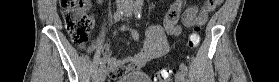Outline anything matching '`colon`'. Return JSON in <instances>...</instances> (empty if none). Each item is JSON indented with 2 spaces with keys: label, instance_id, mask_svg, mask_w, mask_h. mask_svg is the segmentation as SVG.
Returning <instances> with one entry per match:
<instances>
[{
  "label": "colon",
  "instance_id": "5ec220e1",
  "mask_svg": "<svg viewBox=\"0 0 279 82\" xmlns=\"http://www.w3.org/2000/svg\"><path fill=\"white\" fill-rule=\"evenodd\" d=\"M208 5L217 7L222 0H207ZM60 10L64 25L70 34L71 40L78 46H85L89 42L90 32L94 21L88 14L90 1L88 0H59ZM200 27L195 26L193 32L189 35L188 48L196 49L200 44ZM171 68H161L155 74V82H169L173 73Z\"/></svg>",
  "mask_w": 279,
  "mask_h": 82
}]
</instances>
